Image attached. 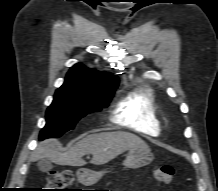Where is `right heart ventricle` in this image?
<instances>
[{"mask_svg":"<svg viewBox=\"0 0 218 191\" xmlns=\"http://www.w3.org/2000/svg\"><path fill=\"white\" fill-rule=\"evenodd\" d=\"M115 121L139 133L154 136L161 131V120L150 88L144 87L127 94L114 111Z\"/></svg>","mask_w":218,"mask_h":191,"instance_id":"e07e8e85","label":"right heart ventricle"}]
</instances>
